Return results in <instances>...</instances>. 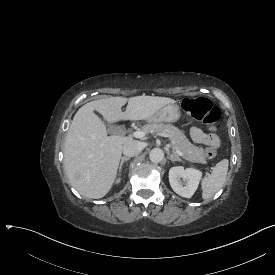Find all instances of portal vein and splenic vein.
I'll list each match as a JSON object with an SVG mask.
<instances>
[{
	"label": "portal vein and splenic vein",
	"mask_w": 275,
	"mask_h": 275,
	"mask_svg": "<svg viewBox=\"0 0 275 275\" xmlns=\"http://www.w3.org/2000/svg\"><path fill=\"white\" fill-rule=\"evenodd\" d=\"M145 132H143V131H135L134 133H133V136L135 137V138H143L144 136H145ZM176 153L178 154V155H180V156H182L183 154H182V152L181 151H176Z\"/></svg>",
	"instance_id": "obj_1"
}]
</instances>
